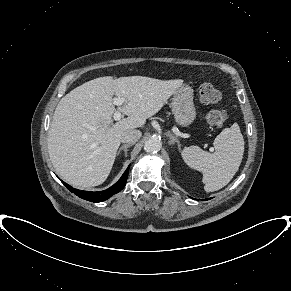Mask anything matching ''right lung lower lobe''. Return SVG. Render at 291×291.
I'll return each mask as SVG.
<instances>
[{
	"label": "right lung lower lobe",
	"mask_w": 291,
	"mask_h": 291,
	"mask_svg": "<svg viewBox=\"0 0 291 291\" xmlns=\"http://www.w3.org/2000/svg\"><path fill=\"white\" fill-rule=\"evenodd\" d=\"M129 168L130 166L126 169L121 178L113 186L103 191L97 192L82 191L72 188L70 185L66 184L63 181L62 182L67 187V189H69L72 193L76 194L80 198L91 202H101L107 200L108 198L120 192L124 188L127 181Z\"/></svg>",
	"instance_id": "1"
}]
</instances>
